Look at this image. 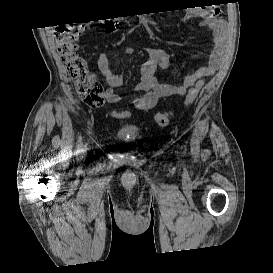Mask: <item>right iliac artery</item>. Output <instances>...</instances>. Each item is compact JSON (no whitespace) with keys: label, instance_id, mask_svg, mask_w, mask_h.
Wrapping results in <instances>:
<instances>
[{"label":"right iliac artery","instance_id":"right-iliac-artery-1","mask_svg":"<svg viewBox=\"0 0 273 273\" xmlns=\"http://www.w3.org/2000/svg\"><path fill=\"white\" fill-rule=\"evenodd\" d=\"M82 150H83V148H82V136H79L78 137V147H77L76 152L80 153V152H82Z\"/></svg>","mask_w":273,"mask_h":273}]
</instances>
